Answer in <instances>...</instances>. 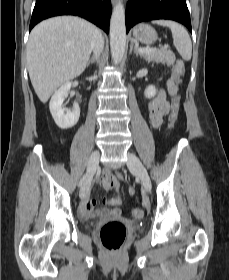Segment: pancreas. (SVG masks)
Here are the masks:
<instances>
[{
  "instance_id": "cf45deb5",
  "label": "pancreas",
  "mask_w": 229,
  "mask_h": 280,
  "mask_svg": "<svg viewBox=\"0 0 229 280\" xmlns=\"http://www.w3.org/2000/svg\"><path fill=\"white\" fill-rule=\"evenodd\" d=\"M140 56L143 57L146 61H154L157 63L166 64L167 66L173 65L176 57L174 53L170 50L161 49L155 50L150 53H140Z\"/></svg>"
}]
</instances>
